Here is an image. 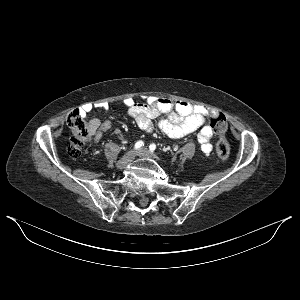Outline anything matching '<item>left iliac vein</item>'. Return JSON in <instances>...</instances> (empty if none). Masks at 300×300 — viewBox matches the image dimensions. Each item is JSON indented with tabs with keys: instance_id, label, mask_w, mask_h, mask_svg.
I'll return each mask as SVG.
<instances>
[{
	"instance_id": "1",
	"label": "left iliac vein",
	"mask_w": 300,
	"mask_h": 300,
	"mask_svg": "<svg viewBox=\"0 0 300 300\" xmlns=\"http://www.w3.org/2000/svg\"><path fill=\"white\" fill-rule=\"evenodd\" d=\"M137 155L141 158L153 159L152 155L147 151V149L142 148L137 152Z\"/></svg>"
}]
</instances>
